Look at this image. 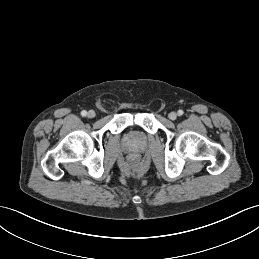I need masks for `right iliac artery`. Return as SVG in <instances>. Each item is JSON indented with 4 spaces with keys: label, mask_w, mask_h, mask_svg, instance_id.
Wrapping results in <instances>:
<instances>
[{
    "label": "right iliac artery",
    "mask_w": 259,
    "mask_h": 259,
    "mask_svg": "<svg viewBox=\"0 0 259 259\" xmlns=\"http://www.w3.org/2000/svg\"><path fill=\"white\" fill-rule=\"evenodd\" d=\"M81 115H82L83 117H85V116L87 115V112H86L85 110H83V111L81 112Z\"/></svg>",
    "instance_id": "1"
}]
</instances>
